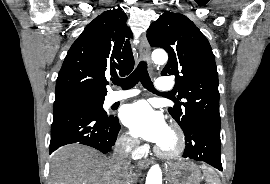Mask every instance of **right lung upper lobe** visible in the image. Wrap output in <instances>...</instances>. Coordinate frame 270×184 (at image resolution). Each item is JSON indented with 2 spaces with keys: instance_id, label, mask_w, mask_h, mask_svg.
I'll use <instances>...</instances> for the list:
<instances>
[{
  "instance_id": "cb5924a9",
  "label": "right lung upper lobe",
  "mask_w": 270,
  "mask_h": 184,
  "mask_svg": "<svg viewBox=\"0 0 270 184\" xmlns=\"http://www.w3.org/2000/svg\"><path fill=\"white\" fill-rule=\"evenodd\" d=\"M122 9L103 12L72 44L56 80V98L105 97L108 76H125L134 68L132 36Z\"/></svg>"
}]
</instances>
